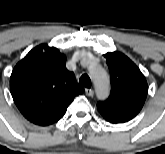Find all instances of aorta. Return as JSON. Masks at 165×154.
Returning a JSON list of instances; mask_svg holds the SVG:
<instances>
[{"mask_svg":"<svg viewBox=\"0 0 165 154\" xmlns=\"http://www.w3.org/2000/svg\"><path fill=\"white\" fill-rule=\"evenodd\" d=\"M89 72L94 81L97 97L99 99L107 98L110 90V82L105 70L100 66H91Z\"/></svg>","mask_w":165,"mask_h":154,"instance_id":"aorta-1","label":"aorta"}]
</instances>
